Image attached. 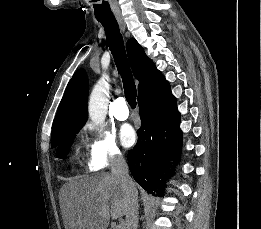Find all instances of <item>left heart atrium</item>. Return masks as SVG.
<instances>
[{"label": "left heart atrium", "mask_w": 261, "mask_h": 229, "mask_svg": "<svg viewBox=\"0 0 261 229\" xmlns=\"http://www.w3.org/2000/svg\"><path fill=\"white\" fill-rule=\"evenodd\" d=\"M120 140L125 147H130L136 142V132L131 125L125 124L121 127Z\"/></svg>", "instance_id": "obj_1"}]
</instances>
